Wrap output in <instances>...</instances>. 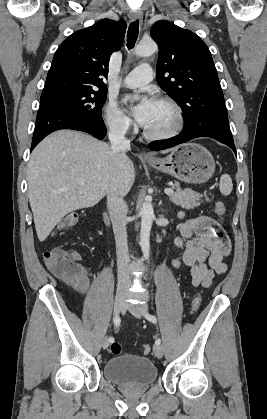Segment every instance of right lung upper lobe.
<instances>
[{
  "instance_id": "right-lung-upper-lobe-1",
  "label": "right lung upper lobe",
  "mask_w": 267,
  "mask_h": 419,
  "mask_svg": "<svg viewBox=\"0 0 267 419\" xmlns=\"http://www.w3.org/2000/svg\"><path fill=\"white\" fill-rule=\"evenodd\" d=\"M124 21L103 19L76 31L58 47L43 93L66 88L105 90L111 54L123 44Z\"/></svg>"
}]
</instances>
